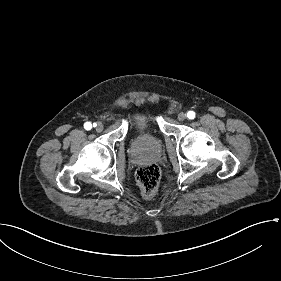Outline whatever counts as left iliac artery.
Segmentation results:
<instances>
[{
  "label": "left iliac artery",
  "instance_id": "44dca946",
  "mask_svg": "<svg viewBox=\"0 0 281 281\" xmlns=\"http://www.w3.org/2000/svg\"><path fill=\"white\" fill-rule=\"evenodd\" d=\"M187 117H188L189 119H194V118H195V112H194V111H189V112L187 113Z\"/></svg>",
  "mask_w": 281,
  "mask_h": 281
}]
</instances>
